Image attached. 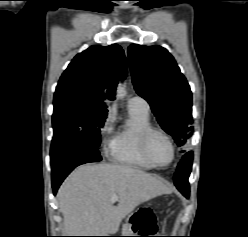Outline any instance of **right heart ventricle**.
<instances>
[{
    "label": "right heart ventricle",
    "mask_w": 248,
    "mask_h": 237,
    "mask_svg": "<svg viewBox=\"0 0 248 237\" xmlns=\"http://www.w3.org/2000/svg\"><path fill=\"white\" fill-rule=\"evenodd\" d=\"M149 127H151L149 111L129 106L127 121L119 126L114 134L111 159L116 163L140 169L154 168L144 158L140 149V135Z\"/></svg>",
    "instance_id": "obj_1"
}]
</instances>
